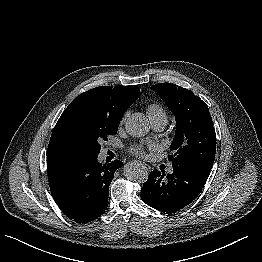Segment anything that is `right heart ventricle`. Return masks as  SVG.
<instances>
[{
	"instance_id": "1",
	"label": "right heart ventricle",
	"mask_w": 262,
	"mask_h": 262,
	"mask_svg": "<svg viewBox=\"0 0 262 262\" xmlns=\"http://www.w3.org/2000/svg\"><path fill=\"white\" fill-rule=\"evenodd\" d=\"M147 115L150 121L164 120L167 122V114L164 108L158 103H151L147 107Z\"/></svg>"
}]
</instances>
